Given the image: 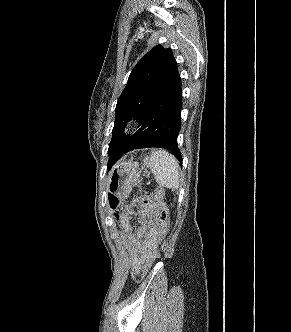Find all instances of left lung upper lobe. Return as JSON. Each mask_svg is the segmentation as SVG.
Listing matches in <instances>:
<instances>
[{
	"mask_svg": "<svg viewBox=\"0 0 291 332\" xmlns=\"http://www.w3.org/2000/svg\"><path fill=\"white\" fill-rule=\"evenodd\" d=\"M177 71V62L170 48L153 47L133 68L117 105L109 159L131 138L123 133L132 119L140 122L150 101L157 96Z\"/></svg>",
	"mask_w": 291,
	"mask_h": 332,
	"instance_id": "1",
	"label": "left lung upper lobe"
}]
</instances>
